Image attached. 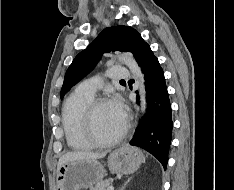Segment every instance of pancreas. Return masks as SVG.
<instances>
[{"label": "pancreas", "mask_w": 234, "mask_h": 190, "mask_svg": "<svg viewBox=\"0 0 234 190\" xmlns=\"http://www.w3.org/2000/svg\"><path fill=\"white\" fill-rule=\"evenodd\" d=\"M110 186V180H105L97 183L95 186H92L90 190H106Z\"/></svg>", "instance_id": "pancreas-1"}]
</instances>
